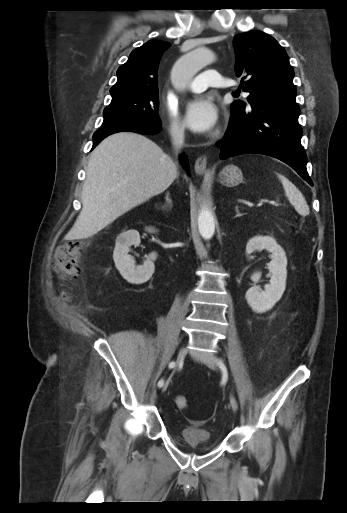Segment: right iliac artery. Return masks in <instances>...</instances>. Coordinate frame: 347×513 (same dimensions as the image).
<instances>
[{
  "instance_id": "obj_1",
  "label": "right iliac artery",
  "mask_w": 347,
  "mask_h": 513,
  "mask_svg": "<svg viewBox=\"0 0 347 513\" xmlns=\"http://www.w3.org/2000/svg\"><path fill=\"white\" fill-rule=\"evenodd\" d=\"M174 367H175V362L174 361L170 362L169 363V368L172 369ZM163 385H164V380L163 379L159 380L158 387H162Z\"/></svg>"
}]
</instances>
